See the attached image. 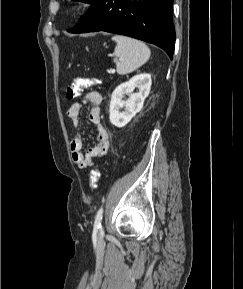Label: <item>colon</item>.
<instances>
[{"label": "colon", "instance_id": "5ec220e1", "mask_svg": "<svg viewBox=\"0 0 243 289\" xmlns=\"http://www.w3.org/2000/svg\"><path fill=\"white\" fill-rule=\"evenodd\" d=\"M95 81L93 79L76 77L71 84L66 87V98L72 100L78 97L83 89L88 88L94 85ZM100 178V172L97 169H94L90 173L89 186L91 188H96L98 180Z\"/></svg>", "mask_w": 243, "mask_h": 289}]
</instances>
